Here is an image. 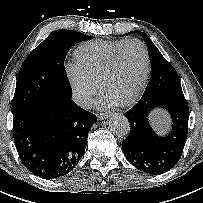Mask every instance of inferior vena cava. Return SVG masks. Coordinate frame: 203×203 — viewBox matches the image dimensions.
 I'll list each match as a JSON object with an SVG mask.
<instances>
[{"mask_svg":"<svg viewBox=\"0 0 203 203\" xmlns=\"http://www.w3.org/2000/svg\"><path fill=\"white\" fill-rule=\"evenodd\" d=\"M73 99L77 105L83 108H89L91 106L90 95L87 93H76Z\"/></svg>","mask_w":203,"mask_h":203,"instance_id":"inferior-vena-cava-1","label":"inferior vena cava"}]
</instances>
